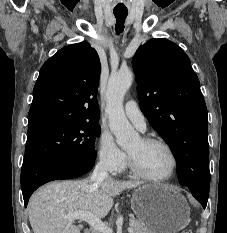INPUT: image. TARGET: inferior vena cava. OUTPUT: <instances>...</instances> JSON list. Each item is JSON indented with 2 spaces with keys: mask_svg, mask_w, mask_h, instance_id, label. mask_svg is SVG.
I'll use <instances>...</instances> for the list:
<instances>
[{
  "mask_svg": "<svg viewBox=\"0 0 227 233\" xmlns=\"http://www.w3.org/2000/svg\"><path fill=\"white\" fill-rule=\"evenodd\" d=\"M108 168L106 163L103 160H100L91 176V182H94L96 185L100 182L104 181L105 179L109 178V174L107 172Z\"/></svg>",
  "mask_w": 227,
  "mask_h": 233,
  "instance_id": "obj_1",
  "label": "inferior vena cava"
}]
</instances>
